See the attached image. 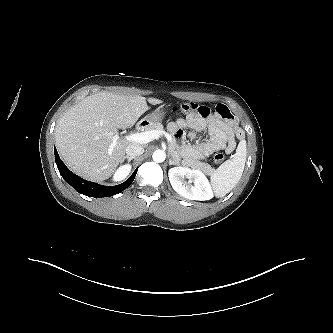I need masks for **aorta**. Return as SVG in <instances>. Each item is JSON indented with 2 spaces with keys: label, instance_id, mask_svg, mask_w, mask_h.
Wrapping results in <instances>:
<instances>
[{
  "label": "aorta",
  "instance_id": "aorta-1",
  "mask_svg": "<svg viewBox=\"0 0 333 333\" xmlns=\"http://www.w3.org/2000/svg\"><path fill=\"white\" fill-rule=\"evenodd\" d=\"M153 160L155 162H163L166 158V154L163 150H156L154 153H153V156H152Z\"/></svg>",
  "mask_w": 333,
  "mask_h": 333
}]
</instances>
